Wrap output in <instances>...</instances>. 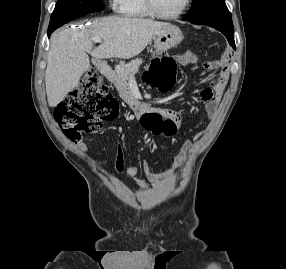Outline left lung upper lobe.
<instances>
[{"instance_id": "1", "label": "left lung upper lobe", "mask_w": 286, "mask_h": 269, "mask_svg": "<svg viewBox=\"0 0 286 269\" xmlns=\"http://www.w3.org/2000/svg\"><path fill=\"white\" fill-rule=\"evenodd\" d=\"M189 16L183 20L197 25H215L228 29L233 28L231 13L229 12L225 0H192Z\"/></svg>"}]
</instances>
